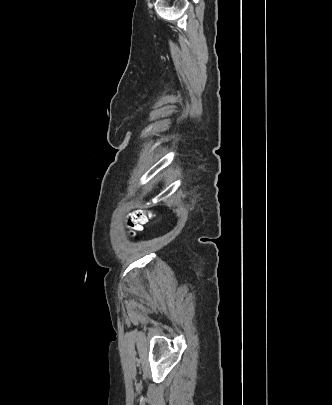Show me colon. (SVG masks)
I'll list each match as a JSON object with an SVG mask.
<instances>
[{
  "instance_id": "obj_1",
  "label": "colon",
  "mask_w": 332,
  "mask_h": 405,
  "mask_svg": "<svg viewBox=\"0 0 332 405\" xmlns=\"http://www.w3.org/2000/svg\"><path fill=\"white\" fill-rule=\"evenodd\" d=\"M148 217L143 212H137L127 219V225L131 230V234L139 231L143 228L144 224L147 222Z\"/></svg>"
}]
</instances>
